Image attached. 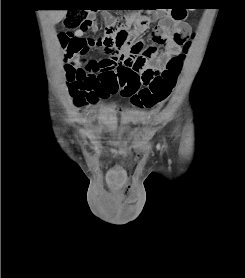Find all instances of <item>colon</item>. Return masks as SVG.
<instances>
[{"instance_id": "5ec220e1", "label": "colon", "mask_w": 245, "mask_h": 278, "mask_svg": "<svg viewBox=\"0 0 245 278\" xmlns=\"http://www.w3.org/2000/svg\"><path fill=\"white\" fill-rule=\"evenodd\" d=\"M154 16L155 13L144 14L137 22L141 24L148 23ZM173 17L176 20H181L185 17V14L182 11L175 10ZM63 23L65 31L60 33L59 43L65 50L64 61L69 94L72 106L75 109H82L96 102L97 95L94 90L96 84L89 73L76 65V61L89 52L91 48L89 40L76 37L73 34L77 30L87 31L93 25L90 20H87L84 9L68 12ZM128 26L129 21L124 18L121 22V28L119 30L109 29L106 36L113 38L117 46L127 47L130 52L154 55L159 58L156 48L146 49L142 43L130 40ZM98 42L105 43V37L99 38ZM169 44L171 49L177 51V53L168 58L162 71L147 68L141 74L129 72L118 79L113 78L108 92L112 95L120 93L129 100L133 107L138 109H151L165 102L177 84L189 41L187 37L174 32L169 36ZM85 66L88 67L89 64ZM141 84L144 86L141 87ZM147 149V146L143 148V150Z\"/></svg>"}]
</instances>
